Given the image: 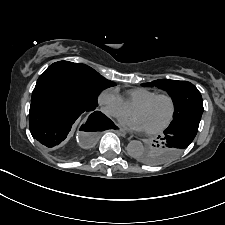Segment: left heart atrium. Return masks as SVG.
Segmentation results:
<instances>
[{
	"instance_id": "39dd6f15",
	"label": "left heart atrium",
	"mask_w": 225,
	"mask_h": 225,
	"mask_svg": "<svg viewBox=\"0 0 225 225\" xmlns=\"http://www.w3.org/2000/svg\"><path fill=\"white\" fill-rule=\"evenodd\" d=\"M121 122L124 126L128 127L129 129L133 130V131H144L145 126L142 123V121L140 120V118H138L137 116H128V117H123L121 119Z\"/></svg>"
}]
</instances>
